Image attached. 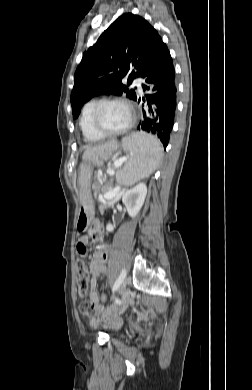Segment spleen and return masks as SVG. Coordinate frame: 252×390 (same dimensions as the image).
<instances>
[{
  "label": "spleen",
  "instance_id": "3e777b00",
  "mask_svg": "<svg viewBox=\"0 0 252 390\" xmlns=\"http://www.w3.org/2000/svg\"><path fill=\"white\" fill-rule=\"evenodd\" d=\"M122 145L125 150L130 152V158L116 174L119 184L131 186L156 170L163 151L156 136L135 132L131 137L124 138Z\"/></svg>",
  "mask_w": 252,
  "mask_h": 390
}]
</instances>
